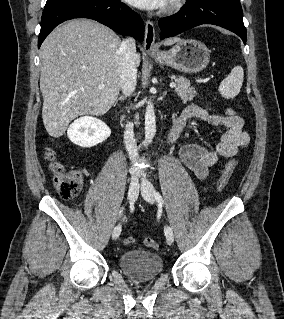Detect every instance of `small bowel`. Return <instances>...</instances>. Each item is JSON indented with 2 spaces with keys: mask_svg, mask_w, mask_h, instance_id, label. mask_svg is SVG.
I'll return each instance as SVG.
<instances>
[{
  "mask_svg": "<svg viewBox=\"0 0 284 319\" xmlns=\"http://www.w3.org/2000/svg\"><path fill=\"white\" fill-rule=\"evenodd\" d=\"M197 118L213 126H222L226 131L214 149L206 148L200 144L188 143L179 150V157L183 165L189 169L199 180H205L210 169L216 165L220 158H230L249 144V134L244 130V121L239 116L229 117L212 114L206 109L189 105L175 120L174 127L178 135L182 133L189 119Z\"/></svg>",
  "mask_w": 284,
  "mask_h": 319,
  "instance_id": "small-bowel-1",
  "label": "small bowel"
}]
</instances>
